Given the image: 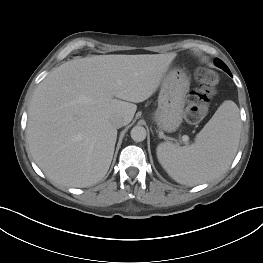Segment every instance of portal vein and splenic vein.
Returning <instances> with one entry per match:
<instances>
[{
    "mask_svg": "<svg viewBox=\"0 0 263 263\" xmlns=\"http://www.w3.org/2000/svg\"><path fill=\"white\" fill-rule=\"evenodd\" d=\"M182 140H183L184 142H188L189 137H188L187 135H184V136H182Z\"/></svg>",
    "mask_w": 263,
    "mask_h": 263,
    "instance_id": "1",
    "label": "portal vein and splenic vein"
}]
</instances>
